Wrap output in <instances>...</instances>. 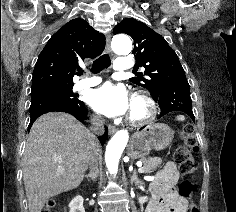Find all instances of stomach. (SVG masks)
<instances>
[{
    "label": "stomach",
    "mask_w": 236,
    "mask_h": 212,
    "mask_svg": "<svg viewBox=\"0 0 236 212\" xmlns=\"http://www.w3.org/2000/svg\"><path fill=\"white\" fill-rule=\"evenodd\" d=\"M174 138V131L164 123L149 125L144 130L133 135L128 148V154L132 158L142 157L152 149L164 150Z\"/></svg>",
    "instance_id": "stomach-1"
}]
</instances>
